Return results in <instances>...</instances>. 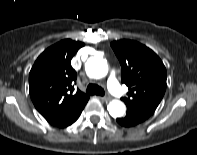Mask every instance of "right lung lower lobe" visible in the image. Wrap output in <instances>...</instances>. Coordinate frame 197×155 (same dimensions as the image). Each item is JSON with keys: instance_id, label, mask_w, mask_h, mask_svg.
Wrapping results in <instances>:
<instances>
[{"instance_id": "obj_1", "label": "right lung lower lobe", "mask_w": 197, "mask_h": 155, "mask_svg": "<svg viewBox=\"0 0 197 155\" xmlns=\"http://www.w3.org/2000/svg\"><path fill=\"white\" fill-rule=\"evenodd\" d=\"M80 114H81V113H80ZM80 114H79V115H80ZM79 115L72 121V123L75 122V121L78 119ZM72 123H71V124H72ZM71 124H70V125H71Z\"/></svg>"}]
</instances>
